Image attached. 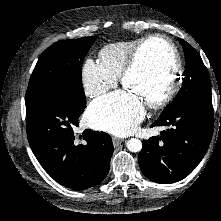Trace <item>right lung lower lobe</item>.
Masks as SVG:
<instances>
[{
    "instance_id": "1",
    "label": "right lung lower lobe",
    "mask_w": 221,
    "mask_h": 221,
    "mask_svg": "<svg viewBox=\"0 0 221 221\" xmlns=\"http://www.w3.org/2000/svg\"><path fill=\"white\" fill-rule=\"evenodd\" d=\"M86 107L72 93L56 89L26 105L28 141L44 170L58 183L74 190L99 184L108 174L114 151L105 132L86 129L74 133Z\"/></svg>"
}]
</instances>
